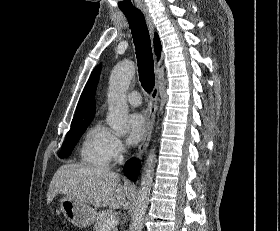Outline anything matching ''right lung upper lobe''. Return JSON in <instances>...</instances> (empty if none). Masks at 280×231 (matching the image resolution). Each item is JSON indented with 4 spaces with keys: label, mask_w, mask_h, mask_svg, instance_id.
Segmentation results:
<instances>
[{
    "label": "right lung upper lobe",
    "mask_w": 280,
    "mask_h": 231,
    "mask_svg": "<svg viewBox=\"0 0 280 231\" xmlns=\"http://www.w3.org/2000/svg\"><path fill=\"white\" fill-rule=\"evenodd\" d=\"M154 50L158 58L160 57L161 45L158 36H155ZM101 66L92 72L79 100L71 127H76L87 122H91L95 114L94 95L97 88Z\"/></svg>",
    "instance_id": "cb5924a9"
}]
</instances>
